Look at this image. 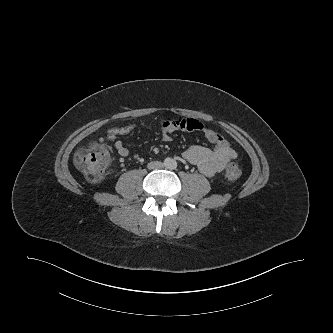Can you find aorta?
I'll use <instances>...</instances> for the list:
<instances>
[{"instance_id": "obj_1", "label": "aorta", "mask_w": 333, "mask_h": 333, "mask_svg": "<svg viewBox=\"0 0 333 333\" xmlns=\"http://www.w3.org/2000/svg\"><path fill=\"white\" fill-rule=\"evenodd\" d=\"M166 166L169 169H174L176 167V161H174L173 159H167Z\"/></svg>"}]
</instances>
